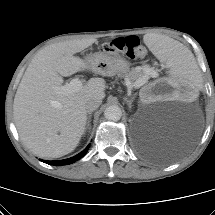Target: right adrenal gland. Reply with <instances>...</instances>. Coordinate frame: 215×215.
I'll use <instances>...</instances> for the list:
<instances>
[{
    "label": "right adrenal gland",
    "instance_id": "1",
    "mask_svg": "<svg viewBox=\"0 0 215 215\" xmlns=\"http://www.w3.org/2000/svg\"><path fill=\"white\" fill-rule=\"evenodd\" d=\"M91 113H89V115H88V118H87V125H86V128H85V131L86 130H90V122H91Z\"/></svg>",
    "mask_w": 215,
    "mask_h": 215
}]
</instances>
